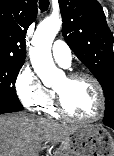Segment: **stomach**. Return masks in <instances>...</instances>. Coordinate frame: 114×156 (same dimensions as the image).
Wrapping results in <instances>:
<instances>
[{"instance_id": "1", "label": "stomach", "mask_w": 114, "mask_h": 156, "mask_svg": "<svg viewBox=\"0 0 114 156\" xmlns=\"http://www.w3.org/2000/svg\"><path fill=\"white\" fill-rule=\"evenodd\" d=\"M55 156H114V140L102 126H76L61 140Z\"/></svg>"}]
</instances>
